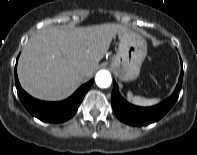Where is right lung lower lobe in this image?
<instances>
[{
    "label": "right lung lower lobe",
    "instance_id": "1",
    "mask_svg": "<svg viewBox=\"0 0 197 155\" xmlns=\"http://www.w3.org/2000/svg\"><path fill=\"white\" fill-rule=\"evenodd\" d=\"M15 84L18 96L25 108L41 121L48 123H61L69 120L77 112L85 94L93 84L90 80L82 85L69 98L59 102H45L37 100L28 95L20 86L17 78V70L15 67Z\"/></svg>",
    "mask_w": 197,
    "mask_h": 155
}]
</instances>
